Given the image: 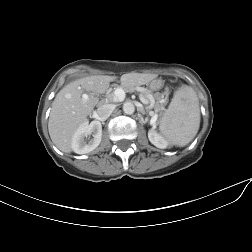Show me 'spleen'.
<instances>
[{
  "mask_svg": "<svg viewBox=\"0 0 252 252\" xmlns=\"http://www.w3.org/2000/svg\"><path fill=\"white\" fill-rule=\"evenodd\" d=\"M200 126V109L195 91L181 86L172 98L159 123L161 134L173 145L185 146L196 136Z\"/></svg>",
  "mask_w": 252,
  "mask_h": 252,
  "instance_id": "obj_1",
  "label": "spleen"
}]
</instances>
